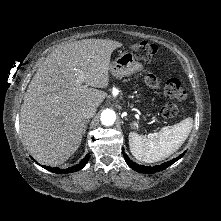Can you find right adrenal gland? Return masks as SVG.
Here are the masks:
<instances>
[{"label": "right adrenal gland", "mask_w": 221, "mask_h": 221, "mask_svg": "<svg viewBox=\"0 0 221 221\" xmlns=\"http://www.w3.org/2000/svg\"><path fill=\"white\" fill-rule=\"evenodd\" d=\"M89 121H90L89 119L84 121L83 135H84V134H85V132H86L87 125H88Z\"/></svg>", "instance_id": "obj_1"}]
</instances>
